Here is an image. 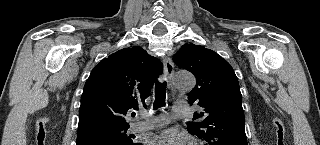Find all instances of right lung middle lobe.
I'll list each match as a JSON object with an SVG mask.
<instances>
[{
  "mask_svg": "<svg viewBox=\"0 0 320 145\" xmlns=\"http://www.w3.org/2000/svg\"><path fill=\"white\" fill-rule=\"evenodd\" d=\"M129 127H120V128H102L98 129L90 134L104 136L115 140L116 142L121 143L122 145H137L132 138L133 136H128L126 130Z\"/></svg>",
  "mask_w": 320,
  "mask_h": 145,
  "instance_id": "right-lung-middle-lobe-1",
  "label": "right lung middle lobe"
}]
</instances>
